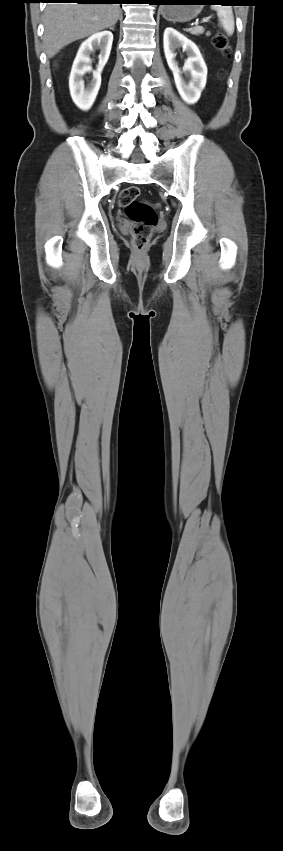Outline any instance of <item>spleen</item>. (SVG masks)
Instances as JSON below:
<instances>
[{"mask_svg":"<svg viewBox=\"0 0 283 851\" xmlns=\"http://www.w3.org/2000/svg\"><path fill=\"white\" fill-rule=\"evenodd\" d=\"M216 10L219 22L228 35H232L235 29L234 15L231 7L228 6H215L213 7Z\"/></svg>","mask_w":283,"mask_h":851,"instance_id":"obj_1","label":"spleen"}]
</instances>
